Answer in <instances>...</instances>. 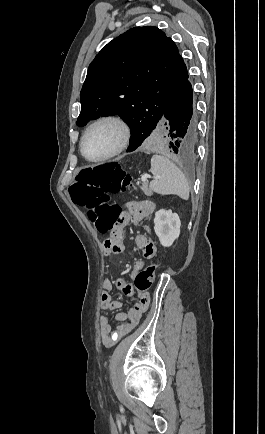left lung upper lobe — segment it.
<instances>
[{
    "mask_svg": "<svg viewBox=\"0 0 265 434\" xmlns=\"http://www.w3.org/2000/svg\"><path fill=\"white\" fill-rule=\"evenodd\" d=\"M187 77L186 64L171 38L157 27L132 28L91 62L76 124L119 114L131 133L155 128Z\"/></svg>",
    "mask_w": 265,
    "mask_h": 434,
    "instance_id": "1",
    "label": "left lung upper lobe"
}]
</instances>
